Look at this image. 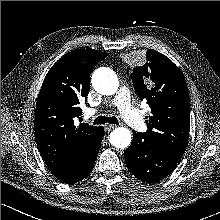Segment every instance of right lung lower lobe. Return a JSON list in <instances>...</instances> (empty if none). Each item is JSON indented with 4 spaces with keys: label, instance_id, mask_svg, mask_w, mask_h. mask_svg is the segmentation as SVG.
<instances>
[{
    "label": "right lung lower lobe",
    "instance_id": "right-lung-lower-lobe-1",
    "mask_svg": "<svg viewBox=\"0 0 220 220\" xmlns=\"http://www.w3.org/2000/svg\"><path fill=\"white\" fill-rule=\"evenodd\" d=\"M103 135H104V128L99 127V130L94 140L92 141L91 145L89 146L84 159L80 162L79 167L64 176L57 178L62 182L68 184H73L84 179L93 169V165L95 163L96 157L101 147V141L103 139Z\"/></svg>",
    "mask_w": 220,
    "mask_h": 220
}]
</instances>
